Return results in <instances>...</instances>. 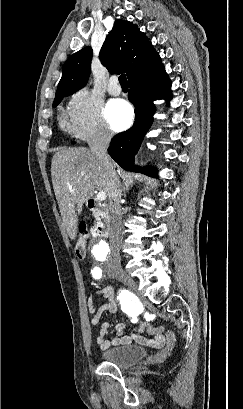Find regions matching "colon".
<instances>
[{
  "label": "colon",
  "mask_w": 243,
  "mask_h": 409,
  "mask_svg": "<svg viewBox=\"0 0 243 409\" xmlns=\"http://www.w3.org/2000/svg\"><path fill=\"white\" fill-rule=\"evenodd\" d=\"M81 237L77 240L76 246H75V253L76 256L80 259L84 258L85 256V241L84 237L87 236L88 231L85 226H82L80 229Z\"/></svg>",
  "instance_id": "colon-1"
}]
</instances>
